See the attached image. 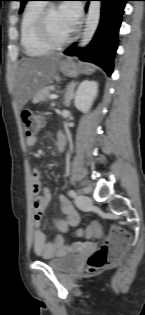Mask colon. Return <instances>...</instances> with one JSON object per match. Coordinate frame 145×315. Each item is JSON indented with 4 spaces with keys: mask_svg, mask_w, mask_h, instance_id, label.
Wrapping results in <instances>:
<instances>
[{
    "mask_svg": "<svg viewBox=\"0 0 145 315\" xmlns=\"http://www.w3.org/2000/svg\"><path fill=\"white\" fill-rule=\"evenodd\" d=\"M21 119L27 137L34 136L42 125V119L32 110L23 111ZM100 232V224L97 221H93L85 231V234L89 237H97ZM129 242L130 236L125 230L113 227L108 239L89 257V269L95 271L115 264L124 254Z\"/></svg>",
    "mask_w": 145,
    "mask_h": 315,
    "instance_id": "obj_1",
    "label": "colon"
}]
</instances>
